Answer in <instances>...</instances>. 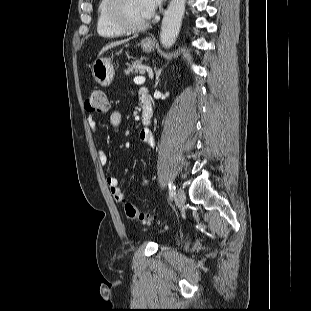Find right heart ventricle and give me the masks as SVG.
<instances>
[{
	"label": "right heart ventricle",
	"instance_id": "obj_1",
	"mask_svg": "<svg viewBox=\"0 0 311 311\" xmlns=\"http://www.w3.org/2000/svg\"><path fill=\"white\" fill-rule=\"evenodd\" d=\"M108 0H99L96 10V31L104 37H119L124 34L109 20L106 8Z\"/></svg>",
	"mask_w": 311,
	"mask_h": 311
}]
</instances>
